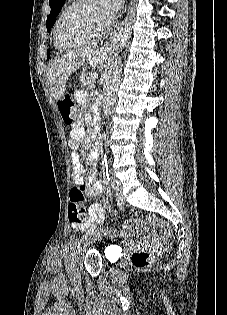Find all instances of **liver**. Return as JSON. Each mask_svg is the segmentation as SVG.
I'll list each match as a JSON object with an SVG mask.
<instances>
[{
  "label": "liver",
  "instance_id": "obj_1",
  "mask_svg": "<svg viewBox=\"0 0 227 315\" xmlns=\"http://www.w3.org/2000/svg\"><path fill=\"white\" fill-rule=\"evenodd\" d=\"M88 51L82 49L70 51L62 56L52 60L48 67L47 80L50 85V90L56 100L61 99L66 90V82L70 75L83 65ZM94 61L103 62L105 55L101 51H96L92 54Z\"/></svg>",
  "mask_w": 227,
  "mask_h": 315
}]
</instances>
